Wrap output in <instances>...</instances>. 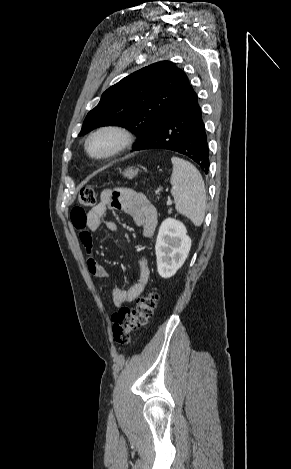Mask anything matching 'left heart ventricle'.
I'll return each instance as SVG.
<instances>
[{"instance_id": "b2bd125f", "label": "left heart ventricle", "mask_w": 291, "mask_h": 469, "mask_svg": "<svg viewBox=\"0 0 291 469\" xmlns=\"http://www.w3.org/2000/svg\"><path fill=\"white\" fill-rule=\"evenodd\" d=\"M116 138L109 133L99 134L94 137L89 144L91 153L95 155H103L109 152L115 145Z\"/></svg>"}]
</instances>
